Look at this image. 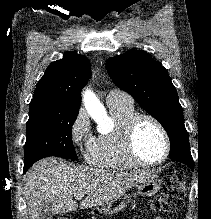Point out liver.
Here are the masks:
<instances>
[{
  "instance_id": "6515ba94",
  "label": "liver",
  "mask_w": 211,
  "mask_h": 219,
  "mask_svg": "<svg viewBox=\"0 0 211 219\" xmlns=\"http://www.w3.org/2000/svg\"><path fill=\"white\" fill-rule=\"evenodd\" d=\"M151 172L106 171L87 167H70L59 158L49 157L34 164L25 175V198L30 219H37L42 202L52 204V212H74L78 204L73 197L86 194L80 208L101 206L142 182Z\"/></svg>"
}]
</instances>
